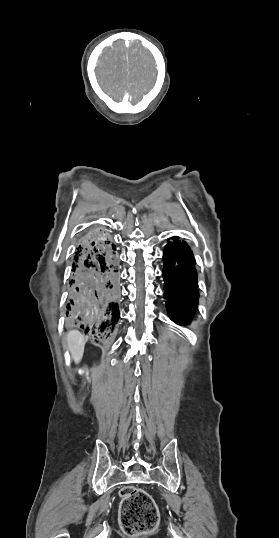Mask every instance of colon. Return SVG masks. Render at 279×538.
I'll use <instances>...</instances> for the list:
<instances>
[{
  "label": "colon",
  "instance_id": "5ec220e1",
  "mask_svg": "<svg viewBox=\"0 0 279 538\" xmlns=\"http://www.w3.org/2000/svg\"><path fill=\"white\" fill-rule=\"evenodd\" d=\"M120 524L127 535L138 536L153 531L159 512L152 497L144 490L125 487L121 490Z\"/></svg>",
  "mask_w": 279,
  "mask_h": 538
}]
</instances>
